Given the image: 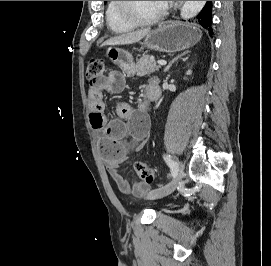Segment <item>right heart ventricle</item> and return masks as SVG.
Instances as JSON below:
<instances>
[{
    "mask_svg": "<svg viewBox=\"0 0 271 266\" xmlns=\"http://www.w3.org/2000/svg\"><path fill=\"white\" fill-rule=\"evenodd\" d=\"M105 17L108 27L115 33H126L131 31L134 26L126 22L119 14L118 1H108Z\"/></svg>",
    "mask_w": 271,
    "mask_h": 266,
    "instance_id": "right-heart-ventricle-1",
    "label": "right heart ventricle"
}]
</instances>
